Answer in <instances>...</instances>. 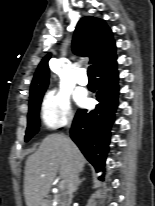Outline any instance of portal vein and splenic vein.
Returning <instances> with one entry per match:
<instances>
[{
	"label": "portal vein and splenic vein",
	"mask_w": 155,
	"mask_h": 206,
	"mask_svg": "<svg viewBox=\"0 0 155 206\" xmlns=\"http://www.w3.org/2000/svg\"><path fill=\"white\" fill-rule=\"evenodd\" d=\"M60 188H61V189L64 188V182H63V181H61V183H60Z\"/></svg>",
	"instance_id": "obj_1"
}]
</instances>
